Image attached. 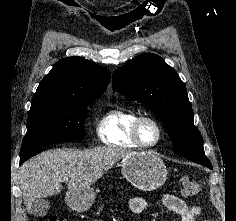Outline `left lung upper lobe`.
Instances as JSON below:
<instances>
[{"mask_svg": "<svg viewBox=\"0 0 236 221\" xmlns=\"http://www.w3.org/2000/svg\"><path fill=\"white\" fill-rule=\"evenodd\" d=\"M113 87L148 106L160 118L178 155L212 169L184 82L174 68L153 53H144L113 73Z\"/></svg>", "mask_w": 236, "mask_h": 221, "instance_id": "left-lung-upper-lobe-1", "label": "left lung upper lobe"}]
</instances>
